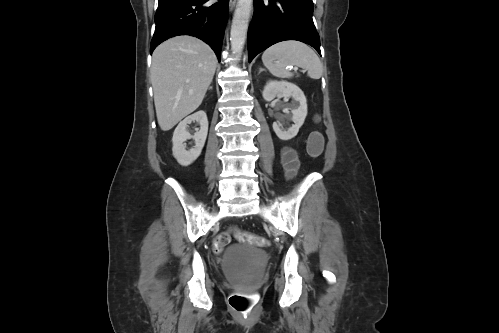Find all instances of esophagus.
<instances>
[{"mask_svg": "<svg viewBox=\"0 0 499 333\" xmlns=\"http://www.w3.org/2000/svg\"><path fill=\"white\" fill-rule=\"evenodd\" d=\"M235 3H236V0H230L229 1V9H230V11H232L234 9Z\"/></svg>", "mask_w": 499, "mask_h": 333, "instance_id": "esophagus-1", "label": "esophagus"}]
</instances>
